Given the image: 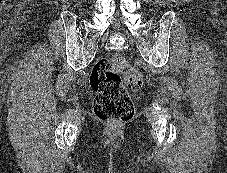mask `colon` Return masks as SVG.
I'll use <instances>...</instances> for the list:
<instances>
[{
    "instance_id": "5ec220e1",
    "label": "colon",
    "mask_w": 227,
    "mask_h": 173,
    "mask_svg": "<svg viewBox=\"0 0 227 173\" xmlns=\"http://www.w3.org/2000/svg\"><path fill=\"white\" fill-rule=\"evenodd\" d=\"M141 73L121 55L98 60L90 75L91 88L96 93L94 114L106 122H127L134 115L129 90L142 86Z\"/></svg>"
}]
</instances>
